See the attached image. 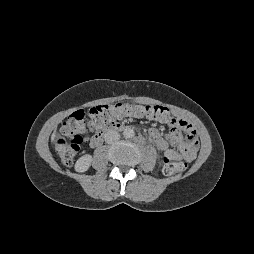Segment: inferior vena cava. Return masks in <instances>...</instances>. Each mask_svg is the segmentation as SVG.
Returning <instances> with one entry per match:
<instances>
[{
	"label": "inferior vena cava",
	"instance_id": "602c4592",
	"mask_svg": "<svg viewBox=\"0 0 254 254\" xmlns=\"http://www.w3.org/2000/svg\"><path fill=\"white\" fill-rule=\"evenodd\" d=\"M104 138L106 143L111 144L120 139V134L115 130H109L105 133Z\"/></svg>",
	"mask_w": 254,
	"mask_h": 254
}]
</instances>
